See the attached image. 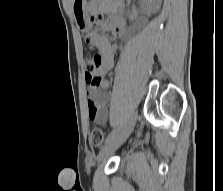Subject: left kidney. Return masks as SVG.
<instances>
[{"label":"left kidney","instance_id":"1","mask_svg":"<svg viewBox=\"0 0 223 191\" xmlns=\"http://www.w3.org/2000/svg\"><path fill=\"white\" fill-rule=\"evenodd\" d=\"M140 4L143 10L155 12L160 8L161 0H142Z\"/></svg>","mask_w":223,"mask_h":191}]
</instances>
